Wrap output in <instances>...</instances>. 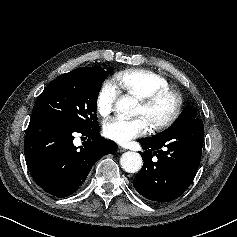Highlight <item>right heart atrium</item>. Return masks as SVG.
<instances>
[{"mask_svg":"<svg viewBox=\"0 0 237 237\" xmlns=\"http://www.w3.org/2000/svg\"><path fill=\"white\" fill-rule=\"evenodd\" d=\"M120 95V89L113 80H106L100 86L96 96V110L98 114L107 118L113 111L114 105Z\"/></svg>","mask_w":237,"mask_h":237,"instance_id":"1","label":"right heart atrium"}]
</instances>
